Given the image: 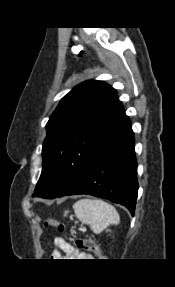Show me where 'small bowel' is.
Masks as SVG:
<instances>
[{"mask_svg": "<svg viewBox=\"0 0 175 287\" xmlns=\"http://www.w3.org/2000/svg\"><path fill=\"white\" fill-rule=\"evenodd\" d=\"M54 245L56 247V250L54 251L53 255L56 257L60 256L59 250H62L68 257L87 255L86 253L77 252L71 245H69L67 242H65L62 238L59 237L54 239Z\"/></svg>", "mask_w": 175, "mask_h": 287, "instance_id": "c3829d8e", "label": "small bowel"}]
</instances>
